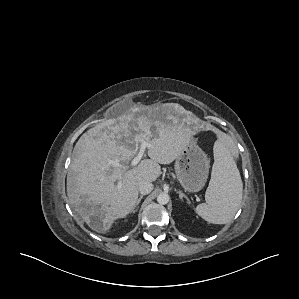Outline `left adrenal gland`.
Here are the masks:
<instances>
[{
  "label": "left adrenal gland",
  "mask_w": 299,
  "mask_h": 299,
  "mask_svg": "<svg viewBox=\"0 0 299 299\" xmlns=\"http://www.w3.org/2000/svg\"><path fill=\"white\" fill-rule=\"evenodd\" d=\"M177 193L179 194V197L181 200H183V198H185L187 203H189L188 197L182 191L178 190Z\"/></svg>",
  "instance_id": "left-adrenal-gland-1"
}]
</instances>
